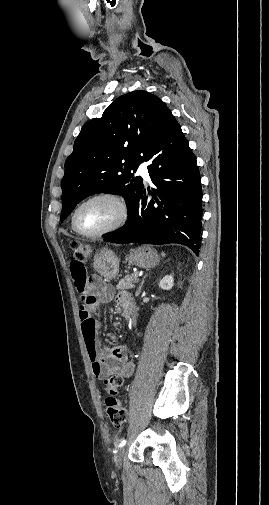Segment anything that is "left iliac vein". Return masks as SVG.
Returning a JSON list of instances; mask_svg holds the SVG:
<instances>
[{"label": "left iliac vein", "instance_id": "left-iliac-vein-1", "mask_svg": "<svg viewBox=\"0 0 269 505\" xmlns=\"http://www.w3.org/2000/svg\"><path fill=\"white\" fill-rule=\"evenodd\" d=\"M124 455H125V448L123 447L120 448L118 452L115 454L114 460L117 467H121Z\"/></svg>", "mask_w": 269, "mask_h": 505}]
</instances>
